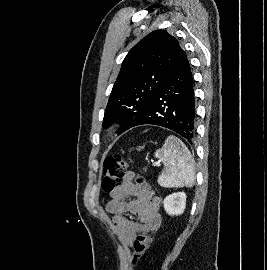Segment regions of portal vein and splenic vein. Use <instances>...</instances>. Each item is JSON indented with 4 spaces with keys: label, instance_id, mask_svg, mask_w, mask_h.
I'll use <instances>...</instances> for the list:
<instances>
[{
    "label": "portal vein and splenic vein",
    "instance_id": "1",
    "mask_svg": "<svg viewBox=\"0 0 267 270\" xmlns=\"http://www.w3.org/2000/svg\"><path fill=\"white\" fill-rule=\"evenodd\" d=\"M155 165H157V166H158V165H160V161H158V162H155Z\"/></svg>",
    "mask_w": 267,
    "mask_h": 270
}]
</instances>
